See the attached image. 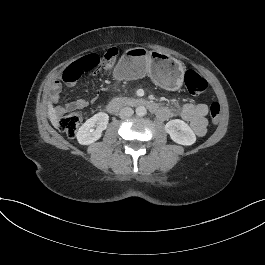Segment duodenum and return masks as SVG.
I'll return each mask as SVG.
<instances>
[{
    "instance_id": "410a0bca",
    "label": "duodenum",
    "mask_w": 265,
    "mask_h": 265,
    "mask_svg": "<svg viewBox=\"0 0 265 265\" xmlns=\"http://www.w3.org/2000/svg\"><path fill=\"white\" fill-rule=\"evenodd\" d=\"M125 106H132V107L143 106L158 117L163 116L165 113L164 108L152 100H147L143 98H130V97L128 98L119 97L112 99L107 105V111L109 113L114 114Z\"/></svg>"
}]
</instances>
